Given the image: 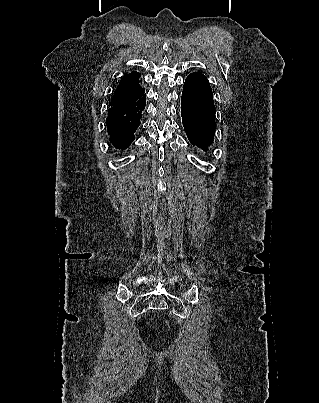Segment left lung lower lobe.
Instances as JSON below:
<instances>
[{"mask_svg": "<svg viewBox=\"0 0 319 403\" xmlns=\"http://www.w3.org/2000/svg\"><path fill=\"white\" fill-rule=\"evenodd\" d=\"M181 116L189 141L207 151L215 134V106L211 86L202 73L193 72L185 80Z\"/></svg>", "mask_w": 319, "mask_h": 403, "instance_id": "obj_1", "label": "left lung lower lobe"}]
</instances>
